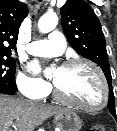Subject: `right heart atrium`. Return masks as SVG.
I'll return each instance as SVG.
<instances>
[{
	"instance_id": "obj_1",
	"label": "right heart atrium",
	"mask_w": 117,
	"mask_h": 131,
	"mask_svg": "<svg viewBox=\"0 0 117 131\" xmlns=\"http://www.w3.org/2000/svg\"><path fill=\"white\" fill-rule=\"evenodd\" d=\"M16 83L24 96L34 100L44 98L50 91V85L47 82L31 77L24 72H20L17 75Z\"/></svg>"
}]
</instances>
